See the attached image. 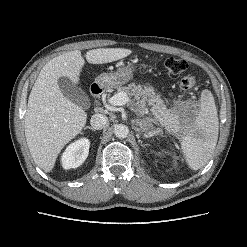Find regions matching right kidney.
Instances as JSON below:
<instances>
[{
  "instance_id": "ca27d5eb",
  "label": "right kidney",
  "mask_w": 247,
  "mask_h": 247,
  "mask_svg": "<svg viewBox=\"0 0 247 247\" xmlns=\"http://www.w3.org/2000/svg\"><path fill=\"white\" fill-rule=\"evenodd\" d=\"M90 141L81 138L71 143L61 156L64 169L77 168L86 160L89 153Z\"/></svg>"
}]
</instances>
